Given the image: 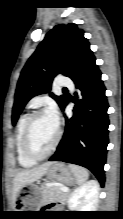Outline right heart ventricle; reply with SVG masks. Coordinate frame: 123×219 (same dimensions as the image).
<instances>
[{
	"mask_svg": "<svg viewBox=\"0 0 123 219\" xmlns=\"http://www.w3.org/2000/svg\"><path fill=\"white\" fill-rule=\"evenodd\" d=\"M28 116L29 114L27 113L20 116L18 123H17V130H16V136H15V147H16L17 159H18L19 164L22 167H32L36 163V161L29 159L25 155L23 151V146H22V137H23L24 127L28 119Z\"/></svg>",
	"mask_w": 123,
	"mask_h": 219,
	"instance_id": "right-heart-ventricle-1",
	"label": "right heart ventricle"
}]
</instances>
